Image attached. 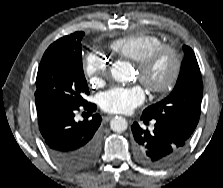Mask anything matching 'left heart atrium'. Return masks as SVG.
<instances>
[{
    "label": "left heart atrium",
    "instance_id": "1",
    "mask_svg": "<svg viewBox=\"0 0 223 188\" xmlns=\"http://www.w3.org/2000/svg\"><path fill=\"white\" fill-rule=\"evenodd\" d=\"M101 109L108 113H129L145 100V91L140 85L112 87L99 95Z\"/></svg>",
    "mask_w": 223,
    "mask_h": 188
}]
</instances>
